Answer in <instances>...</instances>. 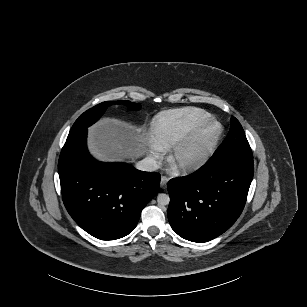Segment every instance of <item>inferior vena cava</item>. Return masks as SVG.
Masks as SVG:
<instances>
[{"instance_id":"1","label":"inferior vena cava","mask_w":307,"mask_h":307,"mask_svg":"<svg viewBox=\"0 0 307 307\" xmlns=\"http://www.w3.org/2000/svg\"><path fill=\"white\" fill-rule=\"evenodd\" d=\"M160 167V163L152 158H145L136 163L135 168L140 171L151 172Z\"/></svg>"}]
</instances>
